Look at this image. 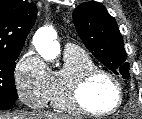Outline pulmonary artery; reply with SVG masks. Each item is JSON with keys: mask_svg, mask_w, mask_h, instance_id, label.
I'll return each instance as SVG.
<instances>
[{"mask_svg": "<svg viewBox=\"0 0 142 119\" xmlns=\"http://www.w3.org/2000/svg\"><path fill=\"white\" fill-rule=\"evenodd\" d=\"M74 48H75V45H73L72 43L66 44V50L74 49Z\"/></svg>", "mask_w": 142, "mask_h": 119, "instance_id": "1", "label": "pulmonary artery"}]
</instances>
